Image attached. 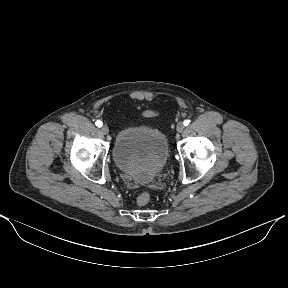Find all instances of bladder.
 Returning <instances> with one entry per match:
<instances>
[{
    "mask_svg": "<svg viewBox=\"0 0 288 288\" xmlns=\"http://www.w3.org/2000/svg\"><path fill=\"white\" fill-rule=\"evenodd\" d=\"M112 154L122 172L134 181L145 184L151 182L165 166L169 146L159 128L131 125L117 132Z\"/></svg>",
    "mask_w": 288,
    "mask_h": 288,
    "instance_id": "obj_1",
    "label": "bladder"
}]
</instances>
